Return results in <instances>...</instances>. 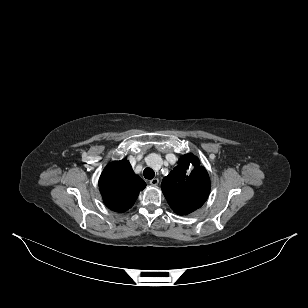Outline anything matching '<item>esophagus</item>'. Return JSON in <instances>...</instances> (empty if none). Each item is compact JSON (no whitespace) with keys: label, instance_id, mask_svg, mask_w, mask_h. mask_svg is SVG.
<instances>
[{"label":"esophagus","instance_id":"obj_1","mask_svg":"<svg viewBox=\"0 0 308 308\" xmlns=\"http://www.w3.org/2000/svg\"><path fill=\"white\" fill-rule=\"evenodd\" d=\"M159 183V179L158 178H153L150 180V184L153 185V186H156L158 185Z\"/></svg>","mask_w":308,"mask_h":308}]
</instances>
